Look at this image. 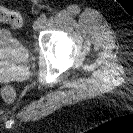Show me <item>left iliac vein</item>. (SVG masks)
<instances>
[{"instance_id":"4c4485c4","label":"left iliac vein","mask_w":133,"mask_h":133,"mask_svg":"<svg viewBox=\"0 0 133 133\" xmlns=\"http://www.w3.org/2000/svg\"><path fill=\"white\" fill-rule=\"evenodd\" d=\"M42 24H43L42 20L38 18L37 20L34 21L33 28L35 30H39L42 27Z\"/></svg>"}]
</instances>
